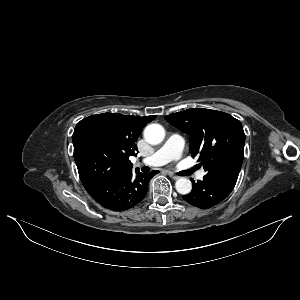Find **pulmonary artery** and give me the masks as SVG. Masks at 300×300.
<instances>
[{"mask_svg": "<svg viewBox=\"0 0 300 300\" xmlns=\"http://www.w3.org/2000/svg\"><path fill=\"white\" fill-rule=\"evenodd\" d=\"M183 149V139L178 135H171L156 152L142 159L139 163L149 166H160L172 160L179 159ZM204 174V171H199L196 175L197 179H203Z\"/></svg>", "mask_w": 300, "mask_h": 300, "instance_id": "pulmonary-artery-1", "label": "pulmonary artery"}]
</instances>
